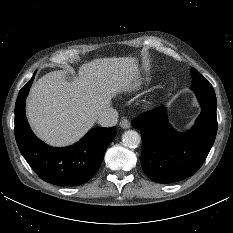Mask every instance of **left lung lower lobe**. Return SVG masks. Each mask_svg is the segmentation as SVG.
<instances>
[{
  "label": "left lung lower lobe",
  "instance_id": "1",
  "mask_svg": "<svg viewBox=\"0 0 233 233\" xmlns=\"http://www.w3.org/2000/svg\"><path fill=\"white\" fill-rule=\"evenodd\" d=\"M202 111L192 130L179 134L167 120L166 107L134 119L142 135L141 165L157 183H172L192 176L205 161L216 137V95L211 84L191 86Z\"/></svg>",
  "mask_w": 233,
  "mask_h": 233
}]
</instances>
